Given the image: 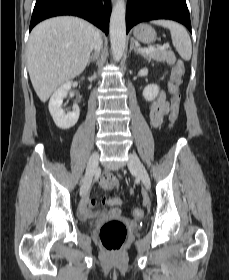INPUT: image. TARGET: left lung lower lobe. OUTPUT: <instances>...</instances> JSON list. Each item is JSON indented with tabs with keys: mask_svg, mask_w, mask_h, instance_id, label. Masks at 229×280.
<instances>
[{
	"mask_svg": "<svg viewBox=\"0 0 229 280\" xmlns=\"http://www.w3.org/2000/svg\"><path fill=\"white\" fill-rule=\"evenodd\" d=\"M170 19L184 24L191 32L186 0H129L126 8V32L149 20Z\"/></svg>",
	"mask_w": 229,
	"mask_h": 280,
	"instance_id": "1",
	"label": "left lung lower lobe"
}]
</instances>
